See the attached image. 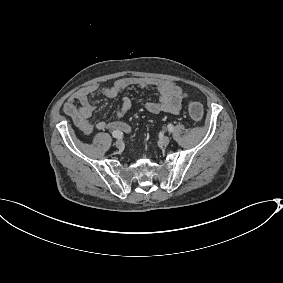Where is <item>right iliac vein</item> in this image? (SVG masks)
Listing matches in <instances>:
<instances>
[{
	"label": "right iliac vein",
	"mask_w": 283,
	"mask_h": 283,
	"mask_svg": "<svg viewBox=\"0 0 283 283\" xmlns=\"http://www.w3.org/2000/svg\"><path fill=\"white\" fill-rule=\"evenodd\" d=\"M115 146L118 148V149H122L124 147V142L121 140V139H118L116 142H115Z\"/></svg>",
	"instance_id": "1"
}]
</instances>
